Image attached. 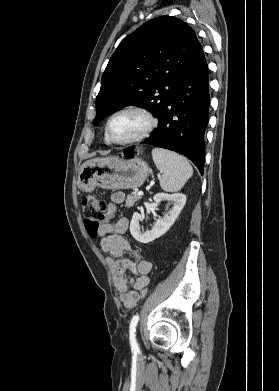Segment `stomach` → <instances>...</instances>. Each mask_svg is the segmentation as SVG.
I'll return each instance as SVG.
<instances>
[{"mask_svg": "<svg viewBox=\"0 0 279 391\" xmlns=\"http://www.w3.org/2000/svg\"><path fill=\"white\" fill-rule=\"evenodd\" d=\"M149 173L148 164L139 158H94L81 165L77 183L84 192H92L96 187L110 190L134 189L144 183Z\"/></svg>", "mask_w": 279, "mask_h": 391, "instance_id": "stomach-1", "label": "stomach"}]
</instances>
